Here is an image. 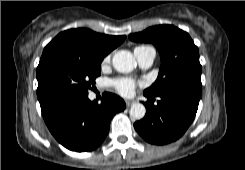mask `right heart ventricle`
<instances>
[{
	"label": "right heart ventricle",
	"mask_w": 245,
	"mask_h": 170,
	"mask_svg": "<svg viewBox=\"0 0 245 170\" xmlns=\"http://www.w3.org/2000/svg\"><path fill=\"white\" fill-rule=\"evenodd\" d=\"M147 49H152L150 46H147V45H140V46H137L134 50L135 51H139V52H143Z\"/></svg>",
	"instance_id": "1"
}]
</instances>
